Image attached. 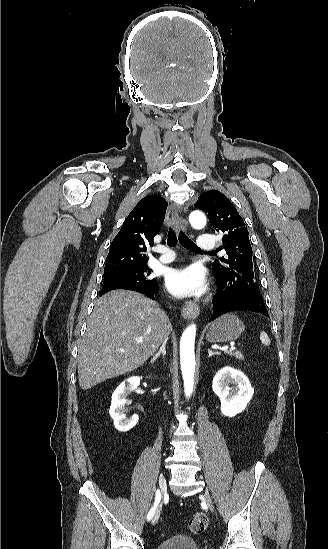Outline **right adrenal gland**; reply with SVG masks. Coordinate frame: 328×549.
<instances>
[{
  "instance_id": "2a0ac1e0",
  "label": "right adrenal gland",
  "mask_w": 328,
  "mask_h": 549,
  "mask_svg": "<svg viewBox=\"0 0 328 549\" xmlns=\"http://www.w3.org/2000/svg\"><path fill=\"white\" fill-rule=\"evenodd\" d=\"M165 345H166V343H163L162 347H160V351H158L157 355H155V357H153L152 361H156V359H158V357H160L161 353H163V355H166Z\"/></svg>"
}]
</instances>
